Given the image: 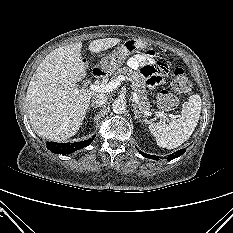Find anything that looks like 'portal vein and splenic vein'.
Here are the masks:
<instances>
[{
  "label": "portal vein and splenic vein",
  "mask_w": 233,
  "mask_h": 233,
  "mask_svg": "<svg viewBox=\"0 0 233 233\" xmlns=\"http://www.w3.org/2000/svg\"><path fill=\"white\" fill-rule=\"evenodd\" d=\"M126 79V77L124 75H120L118 76L116 79L112 80L111 82L107 83V84H91L89 87L92 91L94 92H111L113 90H115L122 81H124ZM132 96H133V100L134 102L138 105V107L142 110V112L147 115V116H150L152 113L149 112L148 110H144L140 103H139V99H138V96L136 94V92H132ZM156 114L158 116H161V117H169L171 119H174L176 118V116L172 115V114H167V113H164V112H156Z\"/></svg>",
  "instance_id": "obj_1"
}]
</instances>
